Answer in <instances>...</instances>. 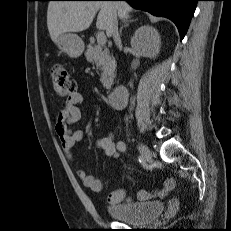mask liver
Segmentation results:
<instances>
[{
    "label": "liver",
    "instance_id": "1",
    "mask_svg": "<svg viewBox=\"0 0 231 231\" xmlns=\"http://www.w3.org/2000/svg\"><path fill=\"white\" fill-rule=\"evenodd\" d=\"M96 27L111 37L114 15L127 19L132 8L128 3L110 1H50L47 9V27L52 41L67 32H81L89 28L96 13Z\"/></svg>",
    "mask_w": 231,
    "mask_h": 231
}]
</instances>
